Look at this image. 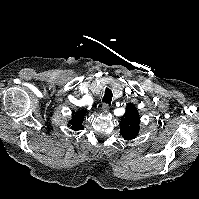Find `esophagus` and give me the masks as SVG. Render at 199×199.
Listing matches in <instances>:
<instances>
[{"mask_svg": "<svg viewBox=\"0 0 199 199\" xmlns=\"http://www.w3.org/2000/svg\"><path fill=\"white\" fill-rule=\"evenodd\" d=\"M109 105L108 104H103L102 105V111L104 112V113H108L109 112Z\"/></svg>", "mask_w": 199, "mask_h": 199, "instance_id": "34e87169", "label": "esophagus"}]
</instances>
